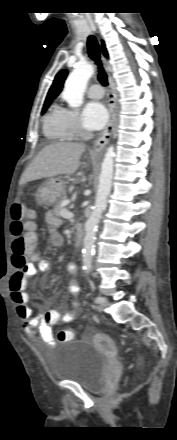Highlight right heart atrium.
<instances>
[{
	"label": "right heart atrium",
	"instance_id": "right-heart-atrium-1",
	"mask_svg": "<svg viewBox=\"0 0 177 440\" xmlns=\"http://www.w3.org/2000/svg\"><path fill=\"white\" fill-rule=\"evenodd\" d=\"M59 115L62 128L69 138L84 133V127L76 110L61 107L59 108Z\"/></svg>",
	"mask_w": 177,
	"mask_h": 440
}]
</instances>
